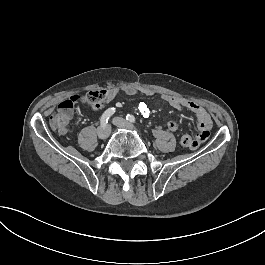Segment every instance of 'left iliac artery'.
I'll use <instances>...</instances> for the list:
<instances>
[{
	"label": "left iliac artery",
	"mask_w": 265,
	"mask_h": 265,
	"mask_svg": "<svg viewBox=\"0 0 265 265\" xmlns=\"http://www.w3.org/2000/svg\"><path fill=\"white\" fill-rule=\"evenodd\" d=\"M126 119H127L129 122H132V123L136 122L135 117H134L133 115H130V114H127V115H126Z\"/></svg>",
	"instance_id": "obj_1"
}]
</instances>
